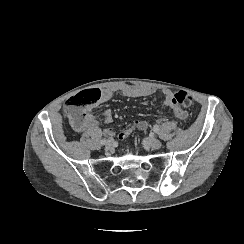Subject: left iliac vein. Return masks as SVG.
<instances>
[{
	"mask_svg": "<svg viewBox=\"0 0 244 244\" xmlns=\"http://www.w3.org/2000/svg\"><path fill=\"white\" fill-rule=\"evenodd\" d=\"M143 143L152 149H159L161 147V142L156 138H147L143 140Z\"/></svg>",
	"mask_w": 244,
	"mask_h": 244,
	"instance_id": "4c4485c4",
	"label": "left iliac vein"
}]
</instances>
